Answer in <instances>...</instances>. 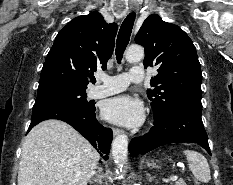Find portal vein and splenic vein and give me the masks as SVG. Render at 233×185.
<instances>
[{"label": "portal vein and splenic vein", "mask_w": 233, "mask_h": 185, "mask_svg": "<svg viewBox=\"0 0 233 185\" xmlns=\"http://www.w3.org/2000/svg\"><path fill=\"white\" fill-rule=\"evenodd\" d=\"M177 178H178L177 176L173 175V176L170 177V180L175 181V180H177Z\"/></svg>", "instance_id": "1"}]
</instances>
